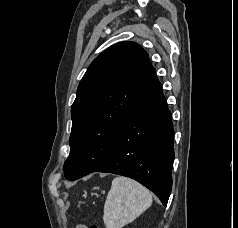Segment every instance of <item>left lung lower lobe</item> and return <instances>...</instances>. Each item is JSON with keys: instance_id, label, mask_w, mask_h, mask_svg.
I'll return each mask as SVG.
<instances>
[{"instance_id": "obj_1", "label": "left lung lower lobe", "mask_w": 238, "mask_h": 228, "mask_svg": "<svg viewBox=\"0 0 238 228\" xmlns=\"http://www.w3.org/2000/svg\"><path fill=\"white\" fill-rule=\"evenodd\" d=\"M174 129L162 86L153 70L137 105L122 126L109 156L87 173L108 172L130 177L167 205L172 188Z\"/></svg>"}]
</instances>
